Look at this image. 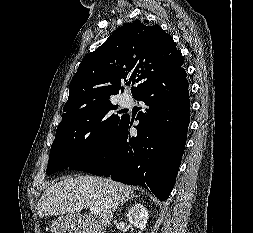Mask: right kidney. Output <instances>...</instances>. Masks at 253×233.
<instances>
[{
    "mask_svg": "<svg viewBox=\"0 0 253 233\" xmlns=\"http://www.w3.org/2000/svg\"><path fill=\"white\" fill-rule=\"evenodd\" d=\"M128 221L131 225L139 229L141 233L147 224L149 218L147 209L140 203L135 204L127 214Z\"/></svg>",
    "mask_w": 253,
    "mask_h": 233,
    "instance_id": "1",
    "label": "right kidney"
}]
</instances>
